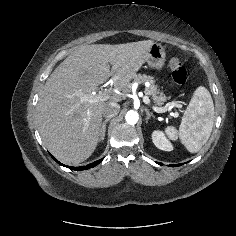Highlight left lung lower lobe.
I'll use <instances>...</instances> for the list:
<instances>
[{"label":"left lung lower lobe","mask_w":236,"mask_h":236,"mask_svg":"<svg viewBox=\"0 0 236 236\" xmlns=\"http://www.w3.org/2000/svg\"><path fill=\"white\" fill-rule=\"evenodd\" d=\"M158 164L163 165L162 163H158ZM180 165H182V164H173V165H170V166L175 167V166H180Z\"/></svg>","instance_id":"obj_1"}]
</instances>
